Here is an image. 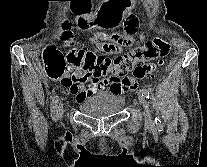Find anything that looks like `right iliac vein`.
I'll use <instances>...</instances> for the list:
<instances>
[{"label":"right iliac vein","instance_id":"63e3f726","mask_svg":"<svg viewBox=\"0 0 207 167\" xmlns=\"http://www.w3.org/2000/svg\"><path fill=\"white\" fill-rule=\"evenodd\" d=\"M58 112H59V115L61 116L63 113V104H60Z\"/></svg>","mask_w":207,"mask_h":167}]
</instances>
